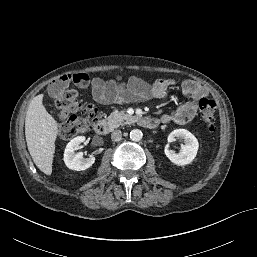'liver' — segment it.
<instances>
[{
    "label": "liver",
    "instance_id": "obj_1",
    "mask_svg": "<svg viewBox=\"0 0 257 257\" xmlns=\"http://www.w3.org/2000/svg\"><path fill=\"white\" fill-rule=\"evenodd\" d=\"M42 101L43 95L39 94L29 104L25 118V136L36 166L46 175H51L58 123L47 112Z\"/></svg>",
    "mask_w": 257,
    "mask_h": 257
}]
</instances>
